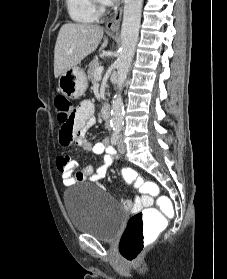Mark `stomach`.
<instances>
[{
  "label": "stomach",
  "mask_w": 227,
  "mask_h": 279,
  "mask_svg": "<svg viewBox=\"0 0 227 279\" xmlns=\"http://www.w3.org/2000/svg\"><path fill=\"white\" fill-rule=\"evenodd\" d=\"M88 86L87 77L83 69L72 67L62 73L58 79V89L66 97L77 99L81 97Z\"/></svg>",
  "instance_id": "stomach-1"
}]
</instances>
